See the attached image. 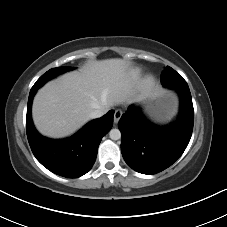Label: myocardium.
<instances>
[{
    "label": "myocardium",
    "mask_w": 227,
    "mask_h": 227,
    "mask_svg": "<svg viewBox=\"0 0 227 227\" xmlns=\"http://www.w3.org/2000/svg\"><path fill=\"white\" fill-rule=\"evenodd\" d=\"M147 83H152L154 81V78L152 76H149L147 79H146Z\"/></svg>",
    "instance_id": "1"
}]
</instances>
